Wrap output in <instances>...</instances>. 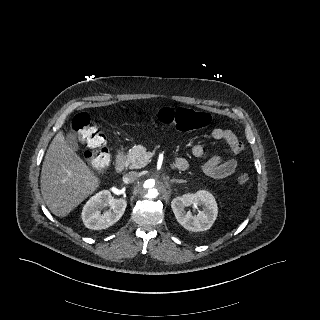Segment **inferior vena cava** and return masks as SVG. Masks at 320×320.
Instances as JSON below:
<instances>
[{"label":"inferior vena cava","mask_w":320,"mask_h":320,"mask_svg":"<svg viewBox=\"0 0 320 320\" xmlns=\"http://www.w3.org/2000/svg\"><path fill=\"white\" fill-rule=\"evenodd\" d=\"M139 177L138 173L135 171H131L123 176V181L125 183H130L135 181Z\"/></svg>","instance_id":"602c4592"}]
</instances>
